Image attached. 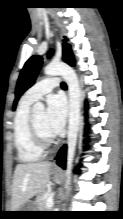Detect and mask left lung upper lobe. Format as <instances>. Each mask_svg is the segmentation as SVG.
<instances>
[{
	"label": "left lung upper lobe",
	"instance_id": "1",
	"mask_svg": "<svg viewBox=\"0 0 123 219\" xmlns=\"http://www.w3.org/2000/svg\"><path fill=\"white\" fill-rule=\"evenodd\" d=\"M52 55V52L49 53V57ZM63 60L71 66L75 65V59L69 44L66 43V39L63 44ZM42 57L34 55L32 56L24 65L15 91V100L14 107L16 106L20 96L30 88L38 75V72L41 68Z\"/></svg>",
	"mask_w": 123,
	"mask_h": 219
}]
</instances>
